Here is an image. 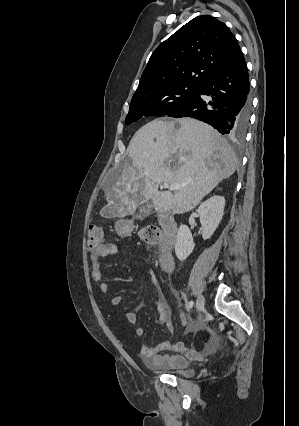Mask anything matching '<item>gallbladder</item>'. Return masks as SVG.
I'll return each mask as SVG.
<instances>
[{"instance_id": "1", "label": "gallbladder", "mask_w": 299, "mask_h": 426, "mask_svg": "<svg viewBox=\"0 0 299 426\" xmlns=\"http://www.w3.org/2000/svg\"><path fill=\"white\" fill-rule=\"evenodd\" d=\"M150 209H151V206H150V205H148V206L143 207V208L141 209V211H142V212H144V213H148V212H150Z\"/></svg>"}]
</instances>
